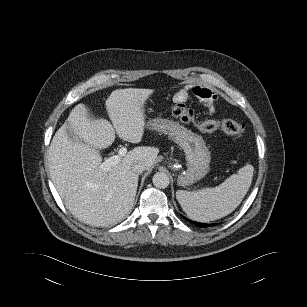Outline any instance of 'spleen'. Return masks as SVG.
Returning <instances> with one entry per match:
<instances>
[{
  "instance_id": "spleen-1",
  "label": "spleen",
  "mask_w": 307,
  "mask_h": 307,
  "mask_svg": "<svg viewBox=\"0 0 307 307\" xmlns=\"http://www.w3.org/2000/svg\"><path fill=\"white\" fill-rule=\"evenodd\" d=\"M253 172V166L246 164L217 187L192 192L178 190L176 198L193 220L208 222L220 219L242 202L252 183Z\"/></svg>"
}]
</instances>
